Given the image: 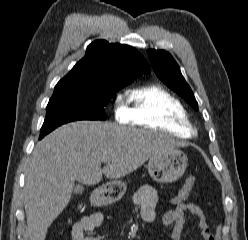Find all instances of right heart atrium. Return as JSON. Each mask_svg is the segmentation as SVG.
I'll return each instance as SVG.
<instances>
[{
	"label": "right heart atrium",
	"mask_w": 248,
	"mask_h": 240,
	"mask_svg": "<svg viewBox=\"0 0 248 240\" xmlns=\"http://www.w3.org/2000/svg\"><path fill=\"white\" fill-rule=\"evenodd\" d=\"M114 115L120 121L125 122L128 119V109L122 103L120 93H117L114 97Z\"/></svg>",
	"instance_id": "obj_1"
}]
</instances>
